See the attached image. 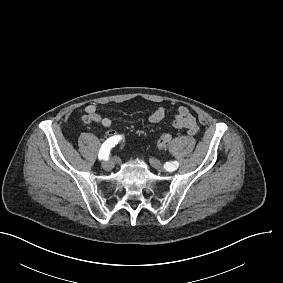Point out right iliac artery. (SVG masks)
Masks as SVG:
<instances>
[{
	"label": "right iliac artery",
	"mask_w": 283,
	"mask_h": 283,
	"mask_svg": "<svg viewBox=\"0 0 283 283\" xmlns=\"http://www.w3.org/2000/svg\"><path fill=\"white\" fill-rule=\"evenodd\" d=\"M121 136H112L108 138L101 146L98 158L99 160H107L110 150L112 147H114L118 142L120 141Z\"/></svg>",
	"instance_id": "right-iliac-artery-1"
}]
</instances>
